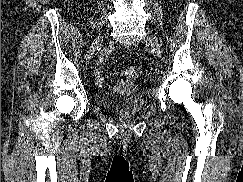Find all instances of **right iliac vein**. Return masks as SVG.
<instances>
[{
  "label": "right iliac vein",
  "instance_id": "1",
  "mask_svg": "<svg viewBox=\"0 0 243 182\" xmlns=\"http://www.w3.org/2000/svg\"><path fill=\"white\" fill-rule=\"evenodd\" d=\"M102 40H103V37H101V36H98L97 38H95V40L93 41V43L91 44V46L89 47V49L85 55L86 61H88L92 58L93 54L95 53L96 49L98 48V46L100 45Z\"/></svg>",
  "mask_w": 243,
  "mask_h": 182
}]
</instances>
